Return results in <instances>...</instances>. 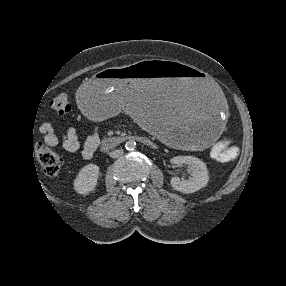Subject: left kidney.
Wrapping results in <instances>:
<instances>
[{
  "mask_svg": "<svg viewBox=\"0 0 286 286\" xmlns=\"http://www.w3.org/2000/svg\"><path fill=\"white\" fill-rule=\"evenodd\" d=\"M173 165H187L191 171V176L187 179L172 177L171 186L182 193H194L205 187L208 183V170L203 161L193 156H177L170 160Z\"/></svg>",
  "mask_w": 286,
  "mask_h": 286,
  "instance_id": "5707ae66",
  "label": "left kidney"
}]
</instances>
